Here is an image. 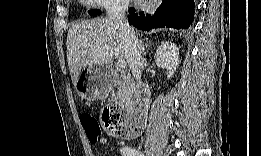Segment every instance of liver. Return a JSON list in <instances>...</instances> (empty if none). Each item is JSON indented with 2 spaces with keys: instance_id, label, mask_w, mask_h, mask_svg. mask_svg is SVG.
<instances>
[{
  "instance_id": "obj_1",
  "label": "liver",
  "mask_w": 261,
  "mask_h": 156,
  "mask_svg": "<svg viewBox=\"0 0 261 156\" xmlns=\"http://www.w3.org/2000/svg\"><path fill=\"white\" fill-rule=\"evenodd\" d=\"M113 57L126 59V48L124 37L109 18L81 21L69 28L67 61L74 86L83 69L109 65Z\"/></svg>"
}]
</instances>
